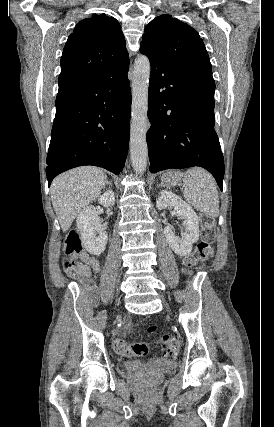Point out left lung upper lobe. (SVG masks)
I'll use <instances>...</instances> for the list:
<instances>
[{"mask_svg":"<svg viewBox=\"0 0 274 427\" xmlns=\"http://www.w3.org/2000/svg\"><path fill=\"white\" fill-rule=\"evenodd\" d=\"M140 49L185 75L214 83L210 59L198 32L170 15H161L145 27Z\"/></svg>","mask_w":274,"mask_h":427,"instance_id":"left-lung-upper-lobe-1","label":"left lung upper lobe"}]
</instances>
